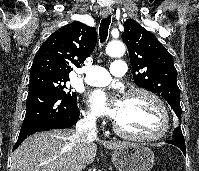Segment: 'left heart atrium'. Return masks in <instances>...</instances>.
<instances>
[{
    "label": "left heart atrium",
    "instance_id": "1",
    "mask_svg": "<svg viewBox=\"0 0 199 171\" xmlns=\"http://www.w3.org/2000/svg\"><path fill=\"white\" fill-rule=\"evenodd\" d=\"M88 103L96 113L116 119L121 109L122 100L109 98L103 90H95L89 94Z\"/></svg>",
    "mask_w": 199,
    "mask_h": 171
}]
</instances>
